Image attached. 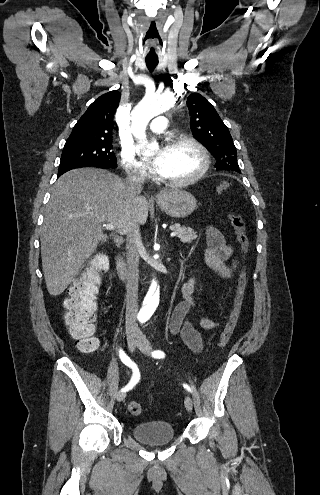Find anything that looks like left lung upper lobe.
I'll return each mask as SVG.
<instances>
[{
    "mask_svg": "<svg viewBox=\"0 0 320 495\" xmlns=\"http://www.w3.org/2000/svg\"><path fill=\"white\" fill-rule=\"evenodd\" d=\"M186 104L191 117L192 134L216 157V169L241 173L233 139L215 108L198 93H192Z\"/></svg>",
    "mask_w": 320,
    "mask_h": 495,
    "instance_id": "obj_1",
    "label": "left lung upper lobe"
}]
</instances>
